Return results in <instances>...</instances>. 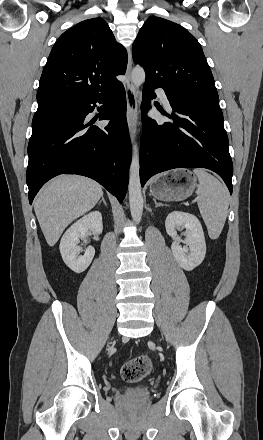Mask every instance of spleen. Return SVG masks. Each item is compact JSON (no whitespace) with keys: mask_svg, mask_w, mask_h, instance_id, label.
Instances as JSON below:
<instances>
[{"mask_svg":"<svg viewBox=\"0 0 263 440\" xmlns=\"http://www.w3.org/2000/svg\"><path fill=\"white\" fill-rule=\"evenodd\" d=\"M193 174L199 180L196 194L200 214L206 224L209 237L217 239L227 218L228 189L216 177L203 169H194Z\"/></svg>","mask_w":263,"mask_h":440,"instance_id":"3e777b00","label":"spleen"}]
</instances>
